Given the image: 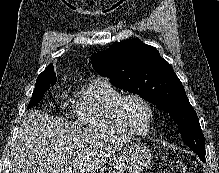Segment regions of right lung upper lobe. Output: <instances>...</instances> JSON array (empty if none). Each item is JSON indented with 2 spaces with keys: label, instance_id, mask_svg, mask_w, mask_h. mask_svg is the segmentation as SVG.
<instances>
[{
  "label": "right lung upper lobe",
  "instance_id": "cb5924a9",
  "mask_svg": "<svg viewBox=\"0 0 219 173\" xmlns=\"http://www.w3.org/2000/svg\"><path fill=\"white\" fill-rule=\"evenodd\" d=\"M50 73H54L53 64H50L41 74H50Z\"/></svg>",
  "mask_w": 219,
  "mask_h": 173
}]
</instances>
